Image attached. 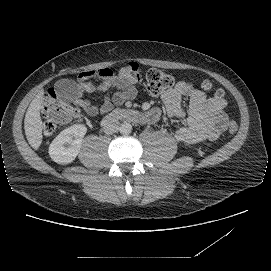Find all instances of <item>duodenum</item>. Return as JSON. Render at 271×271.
<instances>
[{
    "mask_svg": "<svg viewBox=\"0 0 271 271\" xmlns=\"http://www.w3.org/2000/svg\"><path fill=\"white\" fill-rule=\"evenodd\" d=\"M144 115L132 109H117L107 114L102 122L105 130H110L117 120H126L131 122H141Z\"/></svg>",
    "mask_w": 271,
    "mask_h": 271,
    "instance_id": "1",
    "label": "duodenum"
}]
</instances>
